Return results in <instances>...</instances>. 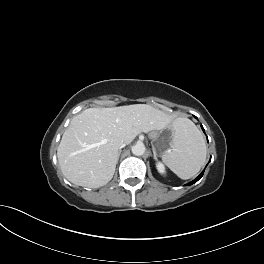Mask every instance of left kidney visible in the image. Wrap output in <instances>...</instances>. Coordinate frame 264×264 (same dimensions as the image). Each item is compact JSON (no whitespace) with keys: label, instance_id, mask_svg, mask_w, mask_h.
Segmentation results:
<instances>
[{"label":"left kidney","instance_id":"5707ae66","mask_svg":"<svg viewBox=\"0 0 264 264\" xmlns=\"http://www.w3.org/2000/svg\"><path fill=\"white\" fill-rule=\"evenodd\" d=\"M156 168H157V170H158L159 173L165 174L166 171H165V166H164L163 163L157 162L156 163Z\"/></svg>","mask_w":264,"mask_h":264}]
</instances>
